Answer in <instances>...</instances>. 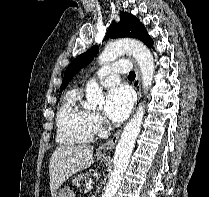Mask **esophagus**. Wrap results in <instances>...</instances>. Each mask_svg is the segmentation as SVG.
<instances>
[{"label": "esophagus", "mask_w": 209, "mask_h": 197, "mask_svg": "<svg viewBox=\"0 0 209 197\" xmlns=\"http://www.w3.org/2000/svg\"><path fill=\"white\" fill-rule=\"evenodd\" d=\"M134 70L136 73V78L134 80V88L137 91V102H138L141 97V74H140V69L135 62H134ZM137 102H136V105H137ZM121 131H122L121 129L118 130L117 133L114 134L111 139H109L106 143L102 144L100 146V150L103 152L112 151L115 148V146L119 140V137L121 135Z\"/></svg>", "instance_id": "34e87169"}]
</instances>
